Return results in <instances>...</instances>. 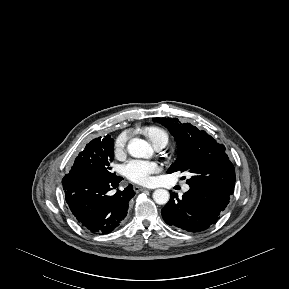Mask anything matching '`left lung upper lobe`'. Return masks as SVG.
I'll return each instance as SVG.
<instances>
[{"instance_id": "1", "label": "left lung upper lobe", "mask_w": 289, "mask_h": 289, "mask_svg": "<svg viewBox=\"0 0 289 289\" xmlns=\"http://www.w3.org/2000/svg\"><path fill=\"white\" fill-rule=\"evenodd\" d=\"M174 136L178 146L177 160L168 173L188 171L189 186L230 197L235 184V169L224 145H220L205 131L191 124H182L176 118H154Z\"/></svg>"}]
</instances>
